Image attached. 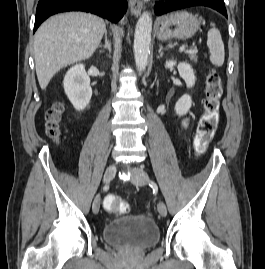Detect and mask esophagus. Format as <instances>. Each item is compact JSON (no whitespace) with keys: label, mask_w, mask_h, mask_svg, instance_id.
I'll return each mask as SVG.
<instances>
[{"label":"esophagus","mask_w":265,"mask_h":269,"mask_svg":"<svg viewBox=\"0 0 265 269\" xmlns=\"http://www.w3.org/2000/svg\"><path fill=\"white\" fill-rule=\"evenodd\" d=\"M129 7L133 15H139L143 9L141 0H129Z\"/></svg>","instance_id":"34e87169"}]
</instances>
